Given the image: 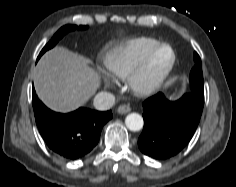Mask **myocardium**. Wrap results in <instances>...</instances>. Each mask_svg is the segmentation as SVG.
<instances>
[{
  "label": "myocardium",
  "instance_id": "f54148a6",
  "mask_svg": "<svg viewBox=\"0 0 236 187\" xmlns=\"http://www.w3.org/2000/svg\"><path fill=\"white\" fill-rule=\"evenodd\" d=\"M167 48L170 51L169 61L156 73L150 74V67L155 55L162 49ZM176 62V53L173 47L166 43H159L152 48L140 61L136 69L128 78L131 91L141 97L151 96L158 92L170 73Z\"/></svg>",
  "mask_w": 236,
  "mask_h": 187
}]
</instances>
